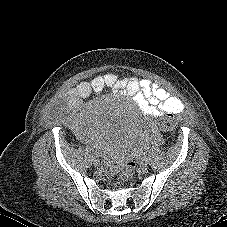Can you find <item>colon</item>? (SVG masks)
<instances>
[{
	"label": "colon",
	"instance_id": "obj_1",
	"mask_svg": "<svg viewBox=\"0 0 227 227\" xmlns=\"http://www.w3.org/2000/svg\"><path fill=\"white\" fill-rule=\"evenodd\" d=\"M175 116L173 114H167L161 119L159 126L164 131H169L174 127ZM107 170L110 173H117V177L120 181H127L133 175L136 169V163L133 161H126L120 166L107 165Z\"/></svg>",
	"mask_w": 227,
	"mask_h": 227
}]
</instances>
